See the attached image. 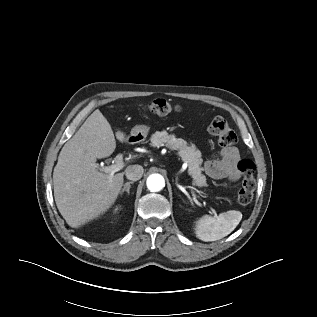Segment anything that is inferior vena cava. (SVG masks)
Segmentation results:
<instances>
[{
  "label": "inferior vena cava",
  "mask_w": 317,
  "mask_h": 317,
  "mask_svg": "<svg viewBox=\"0 0 317 317\" xmlns=\"http://www.w3.org/2000/svg\"><path fill=\"white\" fill-rule=\"evenodd\" d=\"M144 169L141 165H131L125 170V175L128 180L137 181L141 179Z\"/></svg>",
  "instance_id": "obj_1"
}]
</instances>
